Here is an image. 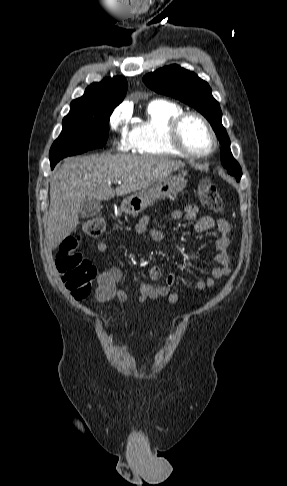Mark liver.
<instances>
[{
  "label": "liver",
  "instance_id": "obj_1",
  "mask_svg": "<svg viewBox=\"0 0 287 486\" xmlns=\"http://www.w3.org/2000/svg\"><path fill=\"white\" fill-rule=\"evenodd\" d=\"M185 164L163 157L100 154L67 159L50 179L47 239L51 249L79 224L85 197L106 201L147 188ZM121 181L112 189L111 184Z\"/></svg>",
  "mask_w": 287,
  "mask_h": 486
}]
</instances>
